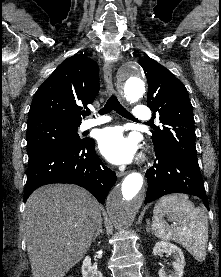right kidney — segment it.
Instances as JSON below:
<instances>
[{
    "label": "right kidney",
    "instance_id": "1",
    "mask_svg": "<svg viewBox=\"0 0 221 277\" xmlns=\"http://www.w3.org/2000/svg\"><path fill=\"white\" fill-rule=\"evenodd\" d=\"M81 271L83 277H103L102 273L92 266L89 256L84 258Z\"/></svg>",
    "mask_w": 221,
    "mask_h": 277
}]
</instances>
